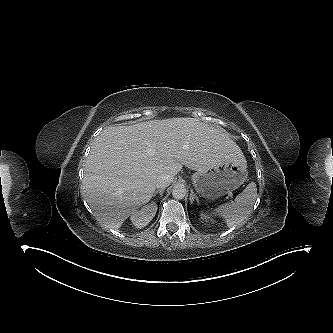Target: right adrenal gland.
Returning <instances> with one entry per match:
<instances>
[{"label": "right adrenal gland", "mask_w": 333, "mask_h": 333, "mask_svg": "<svg viewBox=\"0 0 333 333\" xmlns=\"http://www.w3.org/2000/svg\"><path fill=\"white\" fill-rule=\"evenodd\" d=\"M165 188L162 189H158L154 192L153 197H155L158 193L160 194V196L162 197L163 192H164Z\"/></svg>", "instance_id": "1"}]
</instances>
